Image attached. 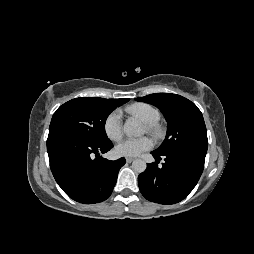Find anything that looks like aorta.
Listing matches in <instances>:
<instances>
[{"instance_id": "1", "label": "aorta", "mask_w": 254, "mask_h": 254, "mask_svg": "<svg viewBox=\"0 0 254 254\" xmlns=\"http://www.w3.org/2000/svg\"><path fill=\"white\" fill-rule=\"evenodd\" d=\"M123 130L126 135L134 137L140 136L143 133L140 123L135 119H128L123 126ZM132 168L134 171L142 173L146 170L147 164L142 159H136L132 163Z\"/></svg>"}]
</instances>
